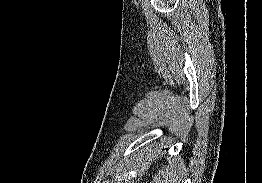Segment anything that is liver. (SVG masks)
I'll return each instance as SVG.
<instances>
[{"label":"liver","instance_id":"6515ba94","mask_svg":"<svg viewBox=\"0 0 262 183\" xmlns=\"http://www.w3.org/2000/svg\"><path fill=\"white\" fill-rule=\"evenodd\" d=\"M182 173V163H179L175 159L170 167L159 170L151 183H181L183 178Z\"/></svg>","mask_w":262,"mask_h":183}]
</instances>
